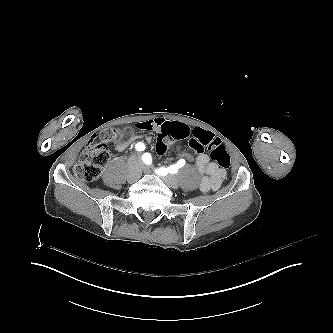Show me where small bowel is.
<instances>
[{
    "mask_svg": "<svg viewBox=\"0 0 333 333\" xmlns=\"http://www.w3.org/2000/svg\"><path fill=\"white\" fill-rule=\"evenodd\" d=\"M164 123H167V121L164 118L157 117L154 119L138 122L136 124V128L142 131H156L160 130V127ZM205 134L211 135L210 133L200 129H195L193 131L194 136H203ZM141 139L142 137L140 135L133 134L131 138L121 141L117 145L116 149L119 152H124L129 147L139 142ZM145 140L149 142L151 140V137H146ZM181 156H185V154L181 153ZM195 164L198 172L204 175V177L200 181V190L205 193L217 190L226 177L225 171L223 169H220L213 162H211L206 154L198 155L195 160Z\"/></svg>",
    "mask_w": 333,
    "mask_h": 333,
    "instance_id": "obj_1",
    "label": "small bowel"
}]
</instances>
